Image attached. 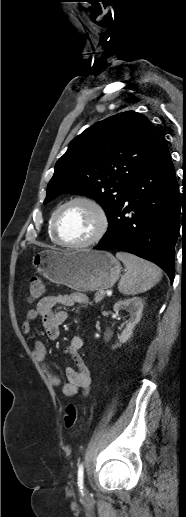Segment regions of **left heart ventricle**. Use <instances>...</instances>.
Here are the masks:
<instances>
[{
  "instance_id": "obj_1",
  "label": "left heart ventricle",
  "mask_w": 186,
  "mask_h": 517,
  "mask_svg": "<svg viewBox=\"0 0 186 517\" xmlns=\"http://www.w3.org/2000/svg\"><path fill=\"white\" fill-rule=\"evenodd\" d=\"M97 227V217L87 205L77 203L65 208L59 216L58 232L70 243H79L90 238Z\"/></svg>"
}]
</instances>
